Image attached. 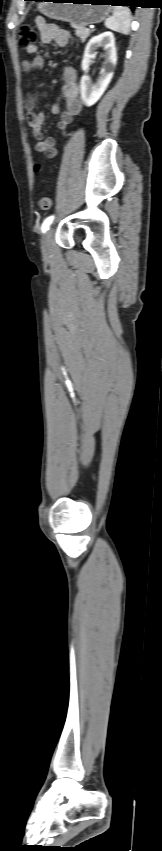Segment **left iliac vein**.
I'll return each instance as SVG.
<instances>
[{"mask_svg":"<svg viewBox=\"0 0 162 851\" xmlns=\"http://www.w3.org/2000/svg\"><path fill=\"white\" fill-rule=\"evenodd\" d=\"M53 237V229L50 227L42 236L41 251L43 256L48 257L51 251V243Z\"/></svg>","mask_w":162,"mask_h":851,"instance_id":"obj_1","label":"left iliac vein"}]
</instances>
